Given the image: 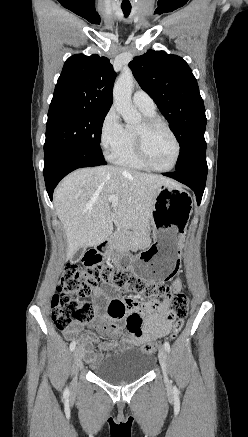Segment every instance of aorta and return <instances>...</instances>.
<instances>
[{
  "mask_svg": "<svg viewBox=\"0 0 248 437\" xmlns=\"http://www.w3.org/2000/svg\"><path fill=\"white\" fill-rule=\"evenodd\" d=\"M133 85L134 77L131 71H124L113 88L114 106L128 125L136 124L141 119L131 100Z\"/></svg>",
  "mask_w": 248,
  "mask_h": 437,
  "instance_id": "obj_1",
  "label": "aorta"
}]
</instances>
